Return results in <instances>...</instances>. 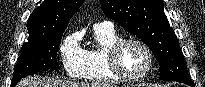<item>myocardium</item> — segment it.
<instances>
[{
  "label": "myocardium",
  "instance_id": "1",
  "mask_svg": "<svg viewBox=\"0 0 205 87\" xmlns=\"http://www.w3.org/2000/svg\"><path fill=\"white\" fill-rule=\"evenodd\" d=\"M130 43L140 46L146 53L148 59V64L146 69L141 74L136 76H130L127 73H125L124 70L121 68L120 61H119V56L122 49L124 48L125 45ZM107 62L111 73L117 79L124 82H140L144 80L151 73L154 67V56L151 49L144 41L138 38L130 37V38L119 39L116 43H114L109 48L107 52Z\"/></svg>",
  "mask_w": 205,
  "mask_h": 87
}]
</instances>
